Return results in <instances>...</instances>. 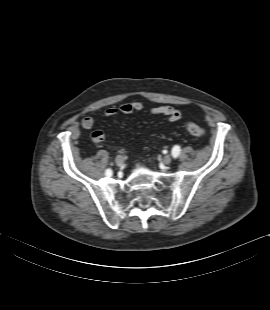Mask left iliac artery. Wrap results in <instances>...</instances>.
Instances as JSON below:
<instances>
[{"label":"left iliac artery","mask_w":270,"mask_h":310,"mask_svg":"<svg viewBox=\"0 0 270 310\" xmlns=\"http://www.w3.org/2000/svg\"><path fill=\"white\" fill-rule=\"evenodd\" d=\"M179 153H180V147L179 146H174L173 149H172V156L174 158H177Z\"/></svg>","instance_id":"44dca946"}]
</instances>
